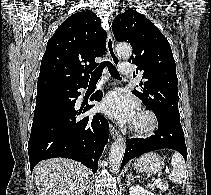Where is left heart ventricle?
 I'll list each match as a JSON object with an SVG mask.
<instances>
[{
	"label": "left heart ventricle",
	"mask_w": 211,
	"mask_h": 195,
	"mask_svg": "<svg viewBox=\"0 0 211 195\" xmlns=\"http://www.w3.org/2000/svg\"><path fill=\"white\" fill-rule=\"evenodd\" d=\"M137 123H139V124H144V123H145V121H144V120H142V119H138V120H137Z\"/></svg>",
	"instance_id": "1"
}]
</instances>
